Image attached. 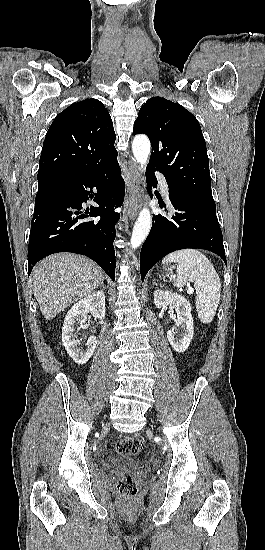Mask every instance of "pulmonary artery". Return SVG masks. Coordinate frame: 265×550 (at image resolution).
Returning a JSON list of instances; mask_svg holds the SVG:
<instances>
[{
	"label": "pulmonary artery",
	"mask_w": 265,
	"mask_h": 550,
	"mask_svg": "<svg viewBox=\"0 0 265 550\" xmlns=\"http://www.w3.org/2000/svg\"><path fill=\"white\" fill-rule=\"evenodd\" d=\"M157 177L159 180V184L161 187V192L165 197H168V184L166 182L165 177L161 173H157Z\"/></svg>",
	"instance_id": "e3ab8cb5"
}]
</instances>
